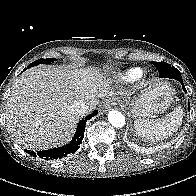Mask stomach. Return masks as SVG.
<instances>
[{
  "label": "stomach",
  "mask_w": 196,
  "mask_h": 196,
  "mask_svg": "<svg viewBox=\"0 0 196 196\" xmlns=\"http://www.w3.org/2000/svg\"><path fill=\"white\" fill-rule=\"evenodd\" d=\"M174 99V89L166 81L154 80L136 97L124 100L133 117L146 118L163 113Z\"/></svg>",
  "instance_id": "stomach-1"
}]
</instances>
